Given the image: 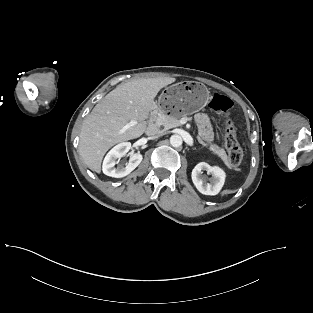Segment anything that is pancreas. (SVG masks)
<instances>
[{
    "mask_svg": "<svg viewBox=\"0 0 313 313\" xmlns=\"http://www.w3.org/2000/svg\"><path fill=\"white\" fill-rule=\"evenodd\" d=\"M157 123L159 125H162L164 126V130H168V129H171V128H174V127H178L180 126V120L178 117H175V116H169L167 114H164V113H160L158 115V119H157ZM198 141L204 145V146H208L207 143H205L200 137H198ZM209 150L214 154V155H217L218 157H220L222 159V161L225 163V165L228 167V168H234L233 164L230 162L226 152L224 149H222L221 147H219L218 145L216 144H211L209 146Z\"/></svg>",
    "mask_w": 313,
    "mask_h": 313,
    "instance_id": "pancreas-1",
    "label": "pancreas"
}]
</instances>
